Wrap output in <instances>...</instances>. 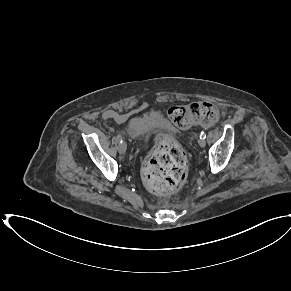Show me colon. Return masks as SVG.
Returning <instances> with one entry per match:
<instances>
[{
  "instance_id": "obj_1",
  "label": "colon",
  "mask_w": 291,
  "mask_h": 291,
  "mask_svg": "<svg viewBox=\"0 0 291 291\" xmlns=\"http://www.w3.org/2000/svg\"><path fill=\"white\" fill-rule=\"evenodd\" d=\"M167 114L169 119L181 128H189L197 123L211 125L218 118L217 108L209 102L172 106ZM186 169L187 159L183 150L175 141L162 136L143 165L142 177L151 192L170 193L183 184Z\"/></svg>"
}]
</instances>
